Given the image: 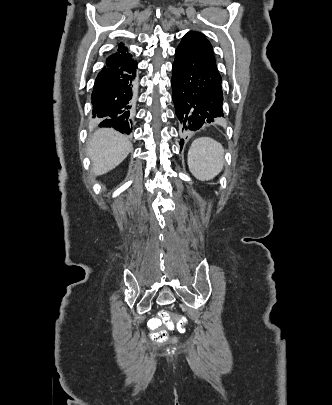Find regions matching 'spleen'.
Wrapping results in <instances>:
<instances>
[{
    "label": "spleen",
    "mask_w": 332,
    "mask_h": 405,
    "mask_svg": "<svg viewBox=\"0 0 332 405\" xmlns=\"http://www.w3.org/2000/svg\"><path fill=\"white\" fill-rule=\"evenodd\" d=\"M224 148L218 141L203 137L196 139L188 151V167L200 181H209L223 170Z\"/></svg>",
    "instance_id": "spleen-1"
}]
</instances>
